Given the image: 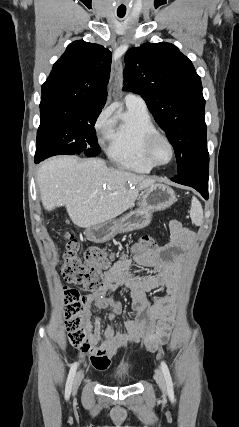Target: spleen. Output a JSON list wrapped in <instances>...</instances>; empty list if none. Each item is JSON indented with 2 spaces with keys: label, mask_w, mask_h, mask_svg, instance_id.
<instances>
[{
  "label": "spleen",
  "mask_w": 239,
  "mask_h": 427,
  "mask_svg": "<svg viewBox=\"0 0 239 427\" xmlns=\"http://www.w3.org/2000/svg\"><path fill=\"white\" fill-rule=\"evenodd\" d=\"M190 217L193 224L196 226H201L203 224L202 205L196 197H193L191 201Z\"/></svg>",
  "instance_id": "obj_1"
}]
</instances>
